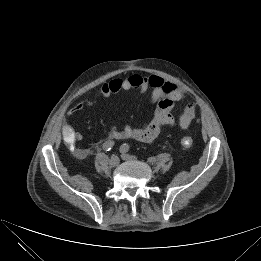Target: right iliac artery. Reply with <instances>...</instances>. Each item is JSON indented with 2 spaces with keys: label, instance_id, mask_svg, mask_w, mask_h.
<instances>
[{
  "label": "right iliac artery",
  "instance_id": "right-iliac-artery-1",
  "mask_svg": "<svg viewBox=\"0 0 261 261\" xmlns=\"http://www.w3.org/2000/svg\"><path fill=\"white\" fill-rule=\"evenodd\" d=\"M114 146V141L108 140L105 143H103V150L104 151H110Z\"/></svg>",
  "mask_w": 261,
  "mask_h": 261
}]
</instances>
